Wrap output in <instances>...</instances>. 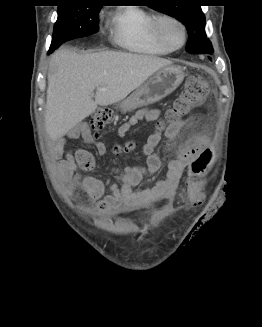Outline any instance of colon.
I'll list each match as a JSON object with an SVG mask.
<instances>
[{
	"instance_id": "5ec220e1",
	"label": "colon",
	"mask_w": 262,
	"mask_h": 327,
	"mask_svg": "<svg viewBox=\"0 0 262 327\" xmlns=\"http://www.w3.org/2000/svg\"><path fill=\"white\" fill-rule=\"evenodd\" d=\"M210 91L209 82L199 73L189 75L184 89L174 101L173 106L167 111L165 121H160L157 128L163 129L166 124H172L188 115L192 110L201 105ZM114 120V113L109 109H98L91 117V126L97 136H100L103 129ZM135 148L133 142H127L115 147L116 153L129 152ZM210 158V153L205 151L194 163L195 173L203 171Z\"/></svg>"
}]
</instances>
